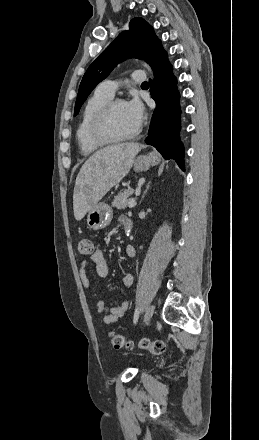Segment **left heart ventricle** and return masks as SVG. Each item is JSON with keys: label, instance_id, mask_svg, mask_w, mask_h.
<instances>
[{"label": "left heart ventricle", "instance_id": "b2bd125f", "mask_svg": "<svg viewBox=\"0 0 259 440\" xmlns=\"http://www.w3.org/2000/svg\"><path fill=\"white\" fill-rule=\"evenodd\" d=\"M137 127L128 114L125 103L117 104L110 118L111 132L114 135L123 136L133 132Z\"/></svg>", "mask_w": 259, "mask_h": 440}]
</instances>
